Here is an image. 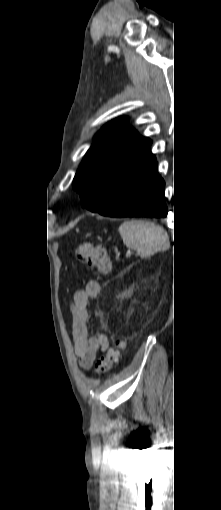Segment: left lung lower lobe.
<instances>
[{
	"label": "left lung lower lobe",
	"mask_w": 221,
	"mask_h": 510,
	"mask_svg": "<svg viewBox=\"0 0 221 510\" xmlns=\"http://www.w3.org/2000/svg\"><path fill=\"white\" fill-rule=\"evenodd\" d=\"M156 169L154 159L106 207L89 210L108 217H166L165 182Z\"/></svg>",
	"instance_id": "left-lung-lower-lobe-1"
}]
</instances>
